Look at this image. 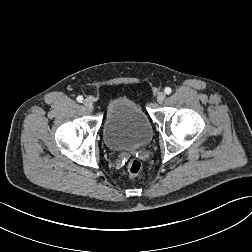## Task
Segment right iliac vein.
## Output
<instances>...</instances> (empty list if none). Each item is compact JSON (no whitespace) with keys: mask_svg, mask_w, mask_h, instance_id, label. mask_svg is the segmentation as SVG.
<instances>
[{"mask_svg":"<svg viewBox=\"0 0 252 252\" xmlns=\"http://www.w3.org/2000/svg\"><path fill=\"white\" fill-rule=\"evenodd\" d=\"M83 104L86 107V109L90 111L93 110V102L90 99H85Z\"/></svg>","mask_w":252,"mask_h":252,"instance_id":"obj_1","label":"right iliac vein"}]
</instances>
